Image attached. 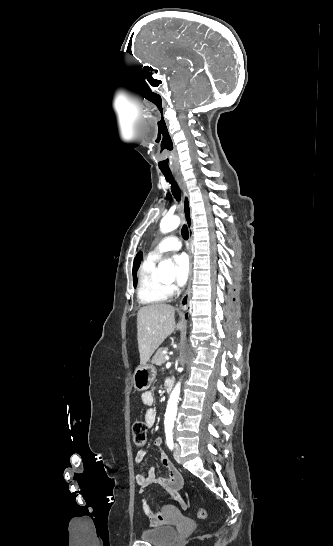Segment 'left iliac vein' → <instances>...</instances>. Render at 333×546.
I'll list each match as a JSON object with an SVG mask.
<instances>
[{"label": "left iliac vein", "mask_w": 333, "mask_h": 546, "mask_svg": "<svg viewBox=\"0 0 333 546\" xmlns=\"http://www.w3.org/2000/svg\"><path fill=\"white\" fill-rule=\"evenodd\" d=\"M173 456H174V459L178 463L181 462V449H180V446L178 444H175V449H174V452H173Z\"/></svg>", "instance_id": "left-iliac-vein-1"}]
</instances>
